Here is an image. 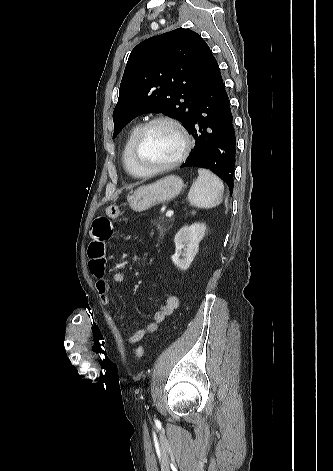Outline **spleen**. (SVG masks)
Returning <instances> with one entry per match:
<instances>
[{
	"label": "spleen",
	"instance_id": "1",
	"mask_svg": "<svg viewBox=\"0 0 333 471\" xmlns=\"http://www.w3.org/2000/svg\"><path fill=\"white\" fill-rule=\"evenodd\" d=\"M198 178L192 184L188 200L196 208H213L222 202L224 185L222 181L207 169H198Z\"/></svg>",
	"mask_w": 333,
	"mask_h": 471
}]
</instances>
